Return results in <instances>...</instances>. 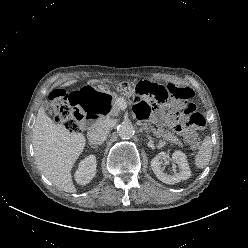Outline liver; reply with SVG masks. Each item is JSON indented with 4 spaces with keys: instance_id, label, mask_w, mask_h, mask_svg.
Here are the masks:
<instances>
[{
    "instance_id": "6515ba94",
    "label": "liver",
    "mask_w": 248,
    "mask_h": 248,
    "mask_svg": "<svg viewBox=\"0 0 248 248\" xmlns=\"http://www.w3.org/2000/svg\"><path fill=\"white\" fill-rule=\"evenodd\" d=\"M77 80H69L71 85ZM32 143L38 169L59 189L74 193L71 170L83 152L86 139L82 133L70 132L60 124L54 123L40 107L32 132Z\"/></svg>"
}]
</instances>
